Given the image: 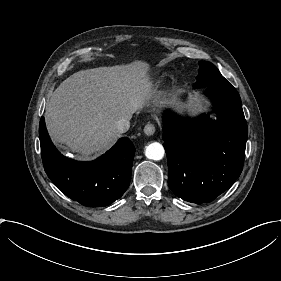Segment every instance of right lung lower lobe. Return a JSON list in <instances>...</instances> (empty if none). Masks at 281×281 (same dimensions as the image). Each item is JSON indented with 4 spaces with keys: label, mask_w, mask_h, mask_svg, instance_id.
Masks as SVG:
<instances>
[{
    "label": "right lung lower lobe",
    "mask_w": 281,
    "mask_h": 281,
    "mask_svg": "<svg viewBox=\"0 0 281 281\" xmlns=\"http://www.w3.org/2000/svg\"><path fill=\"white\" fill-rule=\"evenodd\" d=\"M41 156L51 181L69 198L88 207H105L119 199L131 181L135 147L127 137L91 162L61 155L51 142L44 117L39 124Z\"/></svg>",
    "instance_id": "obj_1"
}]
</instances>
